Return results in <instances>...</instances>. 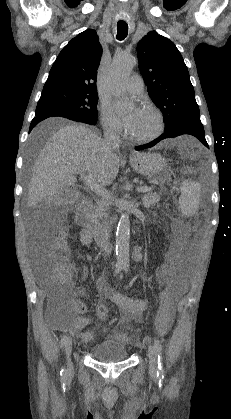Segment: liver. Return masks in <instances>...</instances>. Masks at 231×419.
Instances as JSON below:
<instances>
[{"instance_id":"liver-1","label":"liver","mask_w":231,"mask_h":419,"mask_svg":"<svg viewBox=\"0 0 231 419\" xmlns=\"http://www.w3.org/2000/svg\"><path fill=\"white\" fill-rule=\"evenodd\" d=\"M119 167L118 154L107 150L96 132L80 124L66 125L53 133L37 156L28 187V206L46 198L59 199L64 189L75 185L79 172L91 175L101 186L111 184Z\"/></svg>"}]
</instances>
